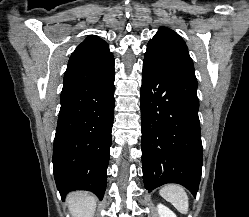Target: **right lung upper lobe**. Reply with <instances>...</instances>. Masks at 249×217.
Masks as SVG:
<instances>
[{
	"instance_id": "1",
	"label": "right lung upper lobe",
	"mask_w": 249,
	"mask_h": 217,
	"mask_svg": "<svg viewBox=\"0 0 249 217\" xmlns=\"http://www.w3.org/2000/svg\"><path fill=\"white\" fill-rule=\"evenodd\" d=\"M108 55H112L108 44L103 39L91 35L72 53L68 66L96 62Z\"/></svg>"
}]
</instances>
